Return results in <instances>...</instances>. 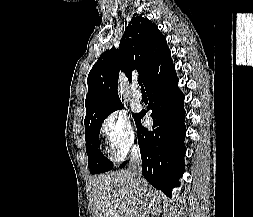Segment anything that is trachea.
<instances>
[{
	"instance_id": "obj_1",
	"label": "trachea",
	"mask_w": 253,
	"mask_h": 217,
	"mask_svg": "<svg viewBox=\"0 0 253 217\" xmlns=\"http://www.w3.org/2000/svg\"><path fill=\"white\" fill-rule=\"evenodd\" d=\"M138 84H139V86L141 87V90H144V87H143V85H142V81H141L140 79H138Z\"/></svg>"
}]
</instances>
